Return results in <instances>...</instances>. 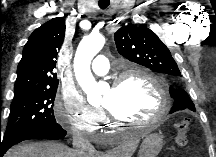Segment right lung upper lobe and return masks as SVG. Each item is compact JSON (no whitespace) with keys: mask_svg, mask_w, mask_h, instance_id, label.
<instances>
[{"mask_svg":"<svg viewBox=\"0 0 216 157\" xmlns=\"http://www.w3.org/2000/svg\"><path fill=\"white\" fill-rule=\"evenodd\" d=\"M64 36L65 20L62 17L51 19L31 34L18 64L14 96L25 91L58 86L54 69Z\"/></svg>","mask_w":216,"mask_h":157,"instance_id":"1","label":"right lung upper lobe"}]
</instances>
